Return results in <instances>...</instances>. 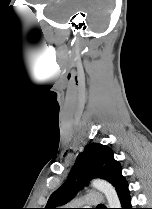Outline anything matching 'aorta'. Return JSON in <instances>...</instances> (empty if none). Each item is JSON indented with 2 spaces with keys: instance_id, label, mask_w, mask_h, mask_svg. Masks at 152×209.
<instances>
[{
  "instance_id": "obj_1",
  "label": "aorta",
  "mask_w": 152,
  "mask_h": 209,
  "mask_svg": "<svg viewBox=\"0 0 152 209\" xmlns=\"http://www.w3.org/2000/svg\"><path fill=\"white\" fill-rule=\"evenodd\" d=\"M91 185L104 193L108 201L109 208H120L121 204L116 193L115 188L105 180L95 179L91 182Z\"/></svg>"
}]
</instances>
